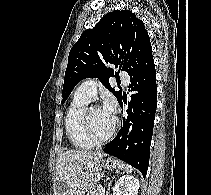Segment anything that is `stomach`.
I'll list each match as a JSON object with an SVG mask.
<instances>
[{
  "instance_id": "stomach-1",
  "label": "stomach",
  "mask_w": 211,
  "mask_h": 195,
  "mask_svg": "<svg viewBox=\"0 0 211 195\" xmlns=\"http://www.w3.org/2000/svg\"><path fill=\"white\" fill-rule=\"evenodd\" d=\"M100 162L101 164L99 163L98 167L93 172H91V174L88 176L89 184L91 185L89 189L94 187L99 181L100 176H101V168L113 171V170H122L125 167V164L119 160L106 159ZM58 186L63 187L62 191L66 193V189L64 188V186H62L60 183H58ZM85 192L79 195H84ZM65 195H69V194H65Z\"/></svg>"
}]
</instances>
